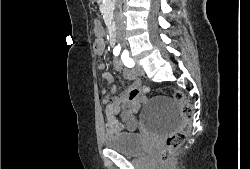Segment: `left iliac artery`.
<instances>
[{"mask_svg": "<svg viewBox=\"0 0 250 169\" xmlns=\"http://www.w3.org/2000/svg\"><path fill=\"white\" fill-rule=\"evenodd\" d=\"M121 59H122L124 65L127 66L128 68H132L134 66V64H135L133 59H131L129 57V52L128 51H124L122 53Z\"/></svg>", "mask_w": 250, "mask_h": 169, "instance_id": "obj_1", "label": "left iliac artery"}]
</instances>
